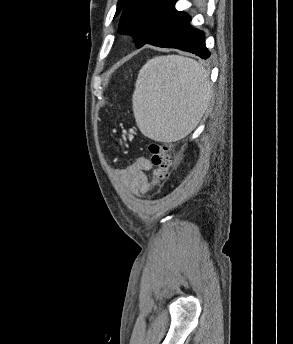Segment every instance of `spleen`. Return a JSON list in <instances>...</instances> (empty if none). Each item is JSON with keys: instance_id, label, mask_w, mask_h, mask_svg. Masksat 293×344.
<instances>
[{"instance_id": "1", "label": "spleen", "mask_w": 293, "mask_h": 344, "mask_svg": "<svg viewBox=\"0 0 293 344\" xmlns=\"http://www.w3.org/2000/svg\"><path fill=\"white\" fill-rule=\"evenodd\" d=\"M211 95L205 68L178 55L158 56L142 67L133 94L137 126L161 142L188 135L202 118Z\"/></svg>"}]
</instances>
